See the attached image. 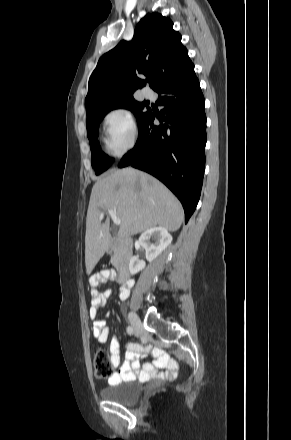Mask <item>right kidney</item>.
<instances>
[{
	"label": "right kidney",
	"mask_w": 291,
	"mask_h": 440,
	"mask_svg": "<svg viewBox=\"0 0 291 440\" xmlns=\"http://www.w3.org/2000/svg\"><path fill=\"white\" fill-rule=\"evenodd\" d=\"M154 241L151 243L150 241ZM172 242V236L164 227H153L146 230L139 238V243L146 250L147 261H153ZM145 261L134 256L129 263V271L132 275L145 268Z\"/></svg>",
	"instance_id": "right-kidney-1"
}]
</instances>
